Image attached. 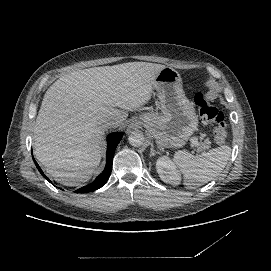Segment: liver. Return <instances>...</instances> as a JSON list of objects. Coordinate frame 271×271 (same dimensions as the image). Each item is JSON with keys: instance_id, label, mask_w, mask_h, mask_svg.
Here are the masks:
<instances>
[{"instance_id": "6515ba94", "label": "liver", "mask_w": 271, "mask_h": 271, "mask_svg": "<svg viewBox=\"0 0 271 271\" xmlns=\"http://www.w3.org/2000/svg\"><path fill=\"white\" fill-rule=\"evenodd\" d=\"M165 65L128 62L73 71L46 91L33 128L34 155L55 181H88L101 161L104 118L123 123L151 99Z\"/></svg>"}]
</instances>
